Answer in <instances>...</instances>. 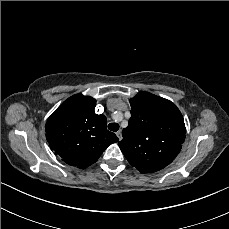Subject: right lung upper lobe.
I'll return each instance as SVG.
<instances>
[{"label":"right lung upper lobe","mask_w":229,"mask_h":229,"mask_svg":"<svg viewBox=\"0 0 229 229\" xmlns=\"http://www.w3.org/2000/svg\"><path fill=\"white\" fill-rule=\"evenodd\" d=\"M96 100L76 94L48 118L46 139L68 165L85 169L95 163L117 136L106 128V117L94 112Z\"/></svg>","instance_id":"cb5924a9"}]
</instances>
